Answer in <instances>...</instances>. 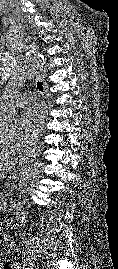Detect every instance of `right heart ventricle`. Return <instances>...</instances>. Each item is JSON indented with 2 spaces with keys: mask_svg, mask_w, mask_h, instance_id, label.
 <instances>
[{
  "mask_svg": "<svg viewBox=\"0 0 118 269\" xmlns=\"http://www.w3.org/2000/svg\"><path fill=\"white\" fill-rule=\"evenodd\" d=\"M0 149H2V150H15L14 148H12V147H8V146H6V145H4V144H2L1 142H0Z\"/></svg>",
  "mask_w": 118,
  "mask_h": 269,
  "instance_id": "e07e8e85",
  "label": "right heart ventricle"
}]
</instances>
